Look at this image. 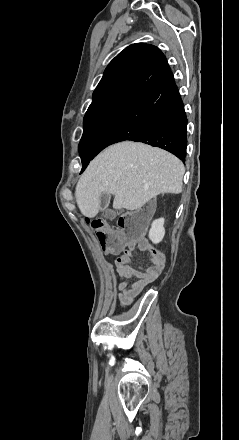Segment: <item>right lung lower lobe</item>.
<instances>
[{"label":"right lung lower lobe","mask_w":239,"mask_h":440,"mask_svg":"<svg viewBox=\"0 0 239 440\" xmlns=\"http://www.w3.org/2000/svg\"><path fill=\"white\" fill-rule=\"evenodd\" d=\"M123 140L165 149L185 161L187 117L172 72L150 90L131 99L93 151L80 155L82 171L101 150Z\"/></svg>","instance_id":"98d812e1"}]
</instances>
